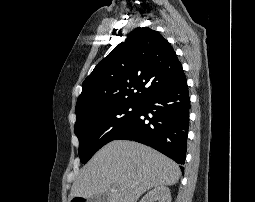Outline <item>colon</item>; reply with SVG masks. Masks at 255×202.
<instances>
[{
	"mask_svg": "<svg viewBox=\"0 0 255 202\" xmlns=\"http://www.w3.org/2000/svg\"><path fill=\"white\" fill-rule=\"evenodd\" d=\"M72 202H85V201L81 198H76Z\"/></svg>",
	"mask_w": 255,
	"mask_h": 202,
	"instance_id": "5ec220e1",
	"label": "colon"
}]
</instances>
